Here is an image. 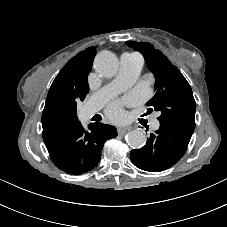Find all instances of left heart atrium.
Wrapping results in <instances>:
<instances>
[{
	"label": "left heart atrium",
	"instance_id": "1",
	"mask_svg": "<svg viewBox=\"0 0 227 227\" xmlns=\"http://www.w3.org/2000/svg\"><path fill=\"white\" fill-rule=\"evenodd\" d=\"M108 113L113 118H120L123 114L120 103H113L108 108Z\"/></svg>",
	"mask_w": 227,
	"mask_h": 227
}]
</instances>
